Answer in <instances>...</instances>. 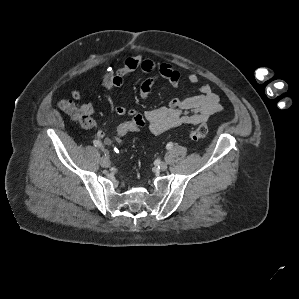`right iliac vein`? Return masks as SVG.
Wrapping results in <instances>:
<instances>
[{"label": "right iliac vein", "mask_w": 299, "mask_h": 299, "mask_svg": "<svg viewBox=\"0 0 299 299\" xmlns=\"http://www.w3.org/2000/svg\"><path fill=\"white\" fill-rule=\"evenodd\" d=\"M100 164L102 167L108 168L110 166V161L108 160V158L106 156H103L100 160Z\"/></svg>", "instance_id": "1"}]
</instances>
